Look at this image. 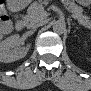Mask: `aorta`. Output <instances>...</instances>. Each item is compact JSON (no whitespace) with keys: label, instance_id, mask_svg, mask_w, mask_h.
Returning <instances> with one entry per match:
<instances>
[{"label":"aorta","instance_id":"1","mask_svg":"<svg viewBox=\"0 0 91 91\" xmlns=\"http://www.w3.org/2000/svg\"><path fill=\"white\" fill-rule=\"evenodd\" d=\"M53 31L57 34H63L66 31V24L63 21H55L53 23Z\"/></svg>","mask_w":91,"mask_h":91}]
</instances>
